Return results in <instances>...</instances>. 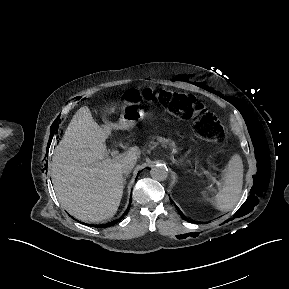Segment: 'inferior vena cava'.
<instances>
[{
	"label": "inferior vena cava",
	"instance_id": "1",
	"mask_svg": "<svg viewBox=\"0 0 289 289\" xmlns=\"http://www.w3.org/2000/svg\"><path fill=\"white\" fill-rule=\"evenodd\" d=\"M136 164V160H126L120 165V170L123 174H128L131 172Z\"/></svg>",
	"mask_w": 289,
	"mask_h": 289
}]
</instances>
